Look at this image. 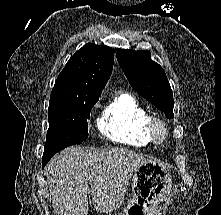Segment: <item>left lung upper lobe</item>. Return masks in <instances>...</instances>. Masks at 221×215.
<instances>
[{
  "instance_id": "left-lung-upper-lobe-1",
  "label": "left lung upper lobe",
  "mask_w": 221,
  "mask_h": 215,
  "mask_svg": "<svg viewBox=\"0 0 221 215\" xmlns=\"http://www.w3.org/2000/svg\"><path fill=\"white\" fill-rule=\"evenodd\" d=\"M117 60L133 89L173 118V92L163 68L151 60L150 51L121 49Z\"/></svg>"
}]
</instances>
